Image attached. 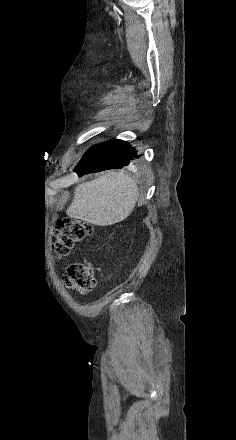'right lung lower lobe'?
<instances>
[{"instance_id":"98d812e1","label":"right lung lower lobe","mask_w":236,"mask_h":440,"mask_svg":"<svg viewBox=\"0 0 236 440\" xmlns=\"http://www.w3.org/2000/svg\"><path fill=\"white\" fill-rule=\"evenodd\" d=\"M137 157L135 148L122 140H109L91 147L75 168L79 176L108 169L122 168Z\"/></svg>"}]
</instances>
